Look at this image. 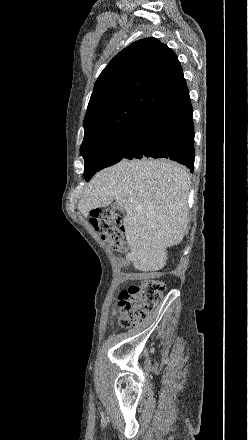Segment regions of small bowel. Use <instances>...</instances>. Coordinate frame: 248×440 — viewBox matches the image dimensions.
Instances as JSON below:
<instances>
[{"label":"small bowel","instance_id":"obj_1","mask_svg":"<svg viewBox=\"0 0 248 440\" xmlns=\"http://www.w3.org/2000/svg\"><path fill=\"white\" fill-rule=\"evenodd\" d=\"M116 315V311H115V309L113 308L112 310H111V316H115Z\"/></svg>","mask_w":248,"mask_h":440}]
</instances>
